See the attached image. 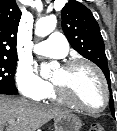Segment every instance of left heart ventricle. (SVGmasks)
<instances>
[{
	"instance_id": "left-heart-ventricle-1",
	"label": "left heart ventricle",
	"mask_w": 117,
	"mask_h": 131,
	"mask_svg": "<svg viewBox=\"0 0 117 131\" xmlns=\"http://www.w3.org/2000/svg\"><path fill=\"white\" fill-rule=\"evenodd\" d=\"M53 81L62 85L68 94L84 106L97 109L103 103V89L95 72L87 66L71 70L58 68Z\"/></svg>"
}]
</instances>
